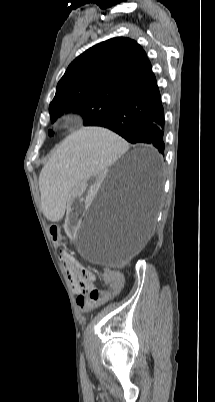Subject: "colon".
<instances>
[{
  "label": "colon",
  "instance_id": "5ec220e1",
  "mask_svg": "<svg viewBox=\"0 0 215 402\" xmlns=\"http://www.w3.org/2000/svg\"><path fill=\"white\" fill-rule=\"evenodd\" d=\"M49 231L53 240L51 244L54 246L62 245L64 242L62 241L61 229L60 226L57 224H51L49 226ZM67 267L69 270L74 273L75 275L88 277L90 273L85 270L83 267L75 264L74 262L70 261L68 258H64ZM104 280L109 281L112 283V288L114 292H118L121 290L123 286V279L119 273L115 271H105L103 273ZM108 298L107 293L92 289L88 292V297L85 298L84 296H79L77 298V304L82 308H88L92 305L101 304L105 302Z\"/></svg>",
  "mask_w": 215,
  "mask_h": 402
}]
</instances>
